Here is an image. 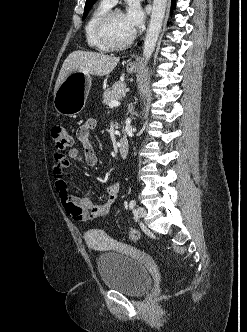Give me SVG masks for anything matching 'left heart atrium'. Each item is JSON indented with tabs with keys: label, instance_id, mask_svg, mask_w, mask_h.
Masks as SVG:
<instances>
[{
	"label": "left heart atrium",
	"instance_id": "39dd6f15",
	"mask_svg": "<svg viewBox=\"0 0 247 332\" xmlns=\"http://www.w3.org/2000/svg\"><path fill=\"white\" fill-rule=\"evenodd\" d=\"M124 17L127 24L133 31L140 27L144 20L143 11L141 10L140 6L135 3L128 7Z\"/></svg>",
	"mask_w": 247,
	"mask_h": 332
}]
</instances>
